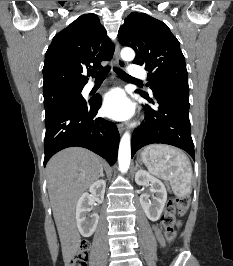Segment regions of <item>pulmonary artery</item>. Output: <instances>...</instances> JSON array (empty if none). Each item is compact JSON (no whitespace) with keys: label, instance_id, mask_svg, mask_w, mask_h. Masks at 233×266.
Wrapping results in <instances>:
<instances>
[{"label":"pulmonary artery","instance_id":"obj_1","mask_svg":"<svg viewBox=\"0 0 233 266\" xmlns=\"http://www.w3.org/2000/svg\"><path fill=\"white\" fill-rule=\"evenodd\" d=\"M129 73L135 77V78H141V79H146L147 78V74L143 71L140 70L139 68H137V66L135 65H131L129 68ZM95 83L90 82L87 84L86 86V90H91L92 88H94Z\"/></svg>","mask_w":233,"mask_h":266}]
</instances>
